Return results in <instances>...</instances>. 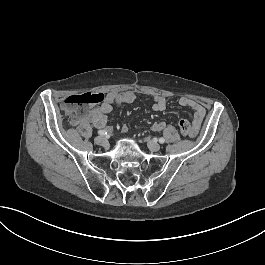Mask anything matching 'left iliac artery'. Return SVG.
Wrapping results in <instances>:
<instances>
[{
  "label": "left iliac artery",
  "instance_id": "44dca946",
  "mask_svg": "<svg viewBox=\"0 0 265 265\" xmlns=\"http://www.w3.org/2000/svg\"><path fill=\"white\" fill-rule=\"evenodd\" d=\"M159 142H160L161 144H163V143L165 142V139H164V138H159Z\"/></svg>",
  "mask_w": 265,
  "mask_h": 265
}]
</instances>
